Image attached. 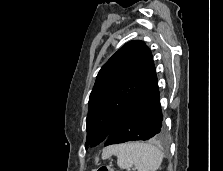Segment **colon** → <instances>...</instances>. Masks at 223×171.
Returning a JSON list of instances; mask_svg holds the SVG:
<instances>
[{"mask_svg":"<svg viewBox=\"0 0 223 171\" xmlns=\"http://www.w3.org/2000/svg\"><path fill=\"white\" fill-rule=\"evenodd\" d=\"M94 171H115V170L110 166H101Z\"/></svg>","mask_w":223,"mask_h":171,"instance_id":"colon-1","label":"colon"}]
</instances>
